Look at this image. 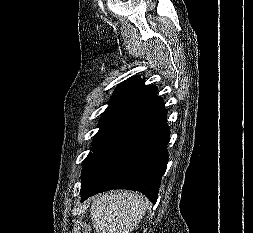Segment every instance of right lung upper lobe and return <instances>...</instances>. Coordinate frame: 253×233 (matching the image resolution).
<instances>
[{
	"label": "right lung upper lobe",
	"instance_id": "obj_1",
	"mask_svg": "<svg viewBox=\"0 0 253 233\" xmlns=\"http://www.w3.org/2000/svg\"><path fill=\"white\" fill-rule=\"evenodd\" d=\"M157 90L154 85L145 86L144 79L140 76H134L118 85L109 103L138 104L157 92Z\"/></svg>",
	"mask_w": 253,
	"mask_h": 233
}]
</instances>
